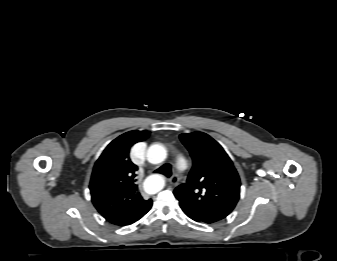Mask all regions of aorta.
Returning a JSON list of instances; mask_svg holds the SVG:
<instances>
[{"label":"aorta","mask_w":337,"mask_h":261,"mask_svg":"<svg viewBox=\"0 0 337 261\" xmlns=\"http://www.w3.org/2000/svg\"><path fill=\"white\" fill-rule=\"evenodd\" d=\"M167 157V151L161 144H152L147 150V160L152 164H159ZM144 188L149 194H155L163 188V180L153 175L146 179Z\"/></svg>","instance_id":"762f6f07"}]
</instances>
